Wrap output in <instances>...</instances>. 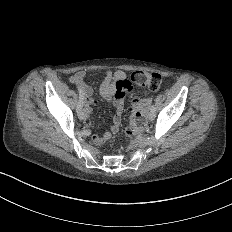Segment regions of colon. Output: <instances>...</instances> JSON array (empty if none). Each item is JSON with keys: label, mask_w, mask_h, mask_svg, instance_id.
Returning <instances> with one entry per match:
<instances>
[{"label": "colon", "mask_w": 232, "mask_h": 232, "mask_svg": "<svg viewBox=\"0 0 232 232\" xmlns=\"http://www.w3.org/2000/svg\"><path fill=\"white\" fill-rule=\"evenodd\" d=\"M131 79L140 86H148V91L153 92V97H164L160 78V71L133 72ZM148 80V81H147ZM132 120L128 127V134L132 138H139L147 126V108L142 100H135L131 104Z\"/></svg>", "instance_id": "obj_1"}]
</instances>
